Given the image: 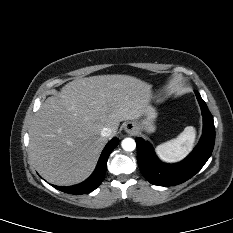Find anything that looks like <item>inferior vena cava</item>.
<instances>
[{
	"label": "inferior vena cava",
	"instance_id": "1",
	"mask_svg": "<svg viewBox=\"0 0 233 233\" xmlns=\"http://www.w3.org/2000/svg\"><path fill=\"white\" fill-rule=\"evenodd\" d=\"M112 135V129L109 128V127H104L102 130H101V136L105 137V138H108Z\"/></svg>",
	"mask_w": 233,
	"mask_h": 233
}]
</instances>
